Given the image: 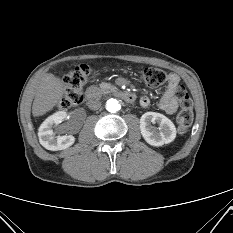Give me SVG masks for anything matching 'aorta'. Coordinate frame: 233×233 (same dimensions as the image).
Listing matches in <instances>:
<instances>
[{
	"mask_svg": "<svg viewBox=\"0 0 233 233\" xmlns=\"http://www.w3.org/2000/svg\"><path fill=\"white\" fill-rule=\"evenodd\" d=\"M106 109L111 113H115L121 109V105L118 100L111 98L106 102Z\"/></svg>",
	"mask_w": 233,
	"mask_h": 233,
	"instance_id": "1",
	"label": "aorta"
}]
</instances>
